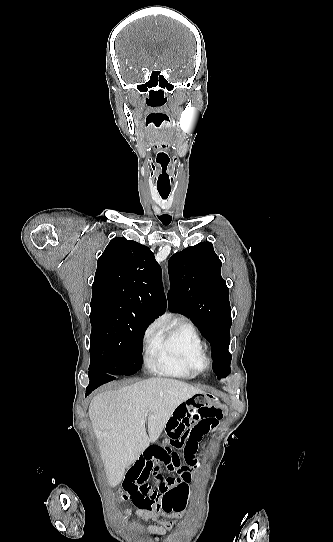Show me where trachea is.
<instances>
[{
    "instance_id": "3493384b",
    "label": "trachea",
    "mask_w": 333,
    "mask_h": 542,
    "mask_svg": "<svg viewBox=\"0 0 333 542\" xmlns=\"http://www.w3.org/2000/svg\"><path fill=\"white\" fill-rule=\"evenodd\" d=\"M158 192L160 196L162 197V199H166L170 194V190H167V189H158Z\"/></svg>"
}]
</instances>
